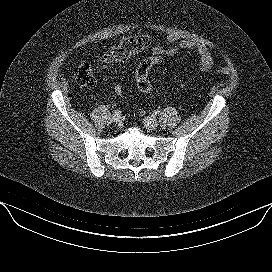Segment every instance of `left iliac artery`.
<instances>
[{"instance_id": "44dca946", "label": "left iliac artery", "mask_w": 272, "mask_h": 272, "mask_svg": "<svg viewBox=\"0 0 272 272\" xmlns=\"http://www.w3.org/2000/svg\"><path fill=\"white\" fill-rule=\"evenodd\" d=\"M154 114H155V115H159V114H160V111H159V110H155V111H154Z\"/></svg>"}]
</instances>
